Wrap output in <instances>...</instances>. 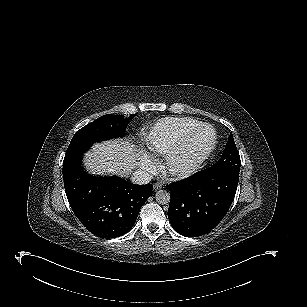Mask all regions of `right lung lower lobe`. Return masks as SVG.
I'll return each mask as SVG.
<instances>
[{"mask_svg":"<svg viewBox=\"0 0 307 307\" xmlns=\"http://www.w3.org/2000/svg\"><path fill=\"white\" fill-rule=\"evenodd\" d=\"M85 151L67 153L63 162L65 192L80 222L94 235L116 238L129 232L152 194V185H136L117 176H92L84 172Z\"/></svg>","mask_w":307,"mask_h":307,"instance_id":"obj_1","label":"right lung lower lobe"}]
</instances>
